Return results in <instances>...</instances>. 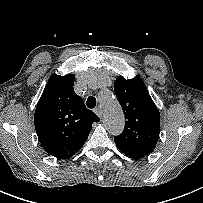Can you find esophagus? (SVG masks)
<instances>
[{
    "label": "esophagus",
    "mask_w": 203,
    "mask_h": 203,
    "mask_svg": "<svg viewBox=\"0 0 203 203\" xmlns=\"http://www.w3.org/2000/svg\"><path fill=\"white\" fill-rule=\"evenodd\" d=\"M94 111H95L96 115H97L99 118H102V110H101L100 107H97Z\"/></svg>",
    "instance_id": "esophagus-1"
}]
</instances>
